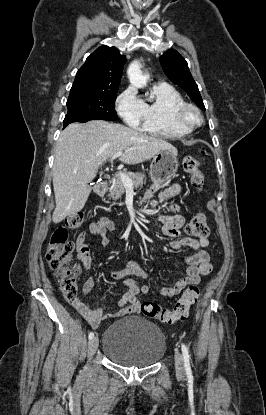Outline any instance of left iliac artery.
Masks as SVG:
<instances>
[{
    "mask_svg": "<svg viewBox=\"0 0 266 415\" xmlns=\"http://www.w3.org/2000/svg\"><path fill=\"white\" fill-rule=\"evenodd\" d=\"M181 350H182V353H183L184 366H185L186 373L188 375H191L190 355H189L188 349H187L185 344L181 345Z\"/></svg>",
    "mask_w": 266,
    "mask_h": 415,
    "instance_id": "44dca946",
    "label": "left iliac artery"
}]
</instances>
